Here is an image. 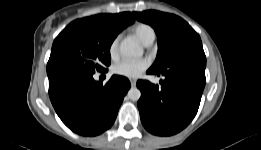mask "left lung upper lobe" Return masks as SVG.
<instances>
[{"label": "left lung upper lobe", "mask_w": 261, "mask_h": 150, "mask_svg": "<svg viewBox=\"0 0 261 150\" xmlns=\"http://www.w3.org/2000/svg\"><path fill=\"white\" fill-rule=\"evenodd\" d=\"M137 20L151 25L158 40V52L150 69H165L176 57L189 51H203L200 36L182 18L155 10L133 12Z\"/></svg>", "instance_id": "1"}]
</instances>
